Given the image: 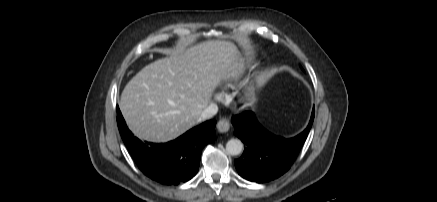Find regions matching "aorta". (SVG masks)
Wrapping results in <instances>:
<instances>
[{"label": "aorta", "mask_w": 437, "mask_h": 202, "mask_svg": "<svg viewBox=\"0 0 437 202\" xmlns=\"http://www.w3.org/2000/svg\"><path fill=\"white\" fill-rule=\"evenodd\" d=\"M243 150V143L239 139H230L226 144V151L230 155H239Z\"/></svg>", "instance_id": "1"}]
</instances>
